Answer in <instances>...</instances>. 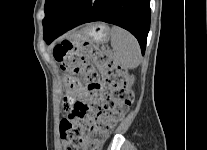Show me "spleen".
I'll return each instance as SVG.
<instances>
[{"mask_svg":"<svg viewBox=\"0 0 207 150\" xmlns=\"http://www.w3.org/2000/svg\"><path fill=\"white\" fill-rule=\"evenodd\" d=\"M114 64L123 69H134L140 64V46L136 38L118 26L111 29Z\"/></svg>","mask_w":207,"mask_h":150,"instance_id":"1","label":"spleen"}]
</instances>
